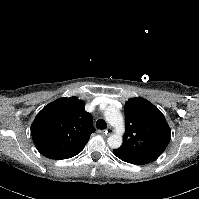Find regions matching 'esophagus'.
<instances>
[{"label": "esophagus", "mask_w": 199, "mask_h": 199, "mask_svg": "<svg viewBox=\"0 0 199 199\" xmlns=\"http://www.w3.org/2000/svg\"><path fill=\"white\" fill-rule=\"evenodd\" d=\"M113 131H114V130H113L111 127H107L106 130L104 131V133H105V135L108 136V135L112 134Z\"/></svg>", "instance_id": "esophagus-1"}]
</instances>
